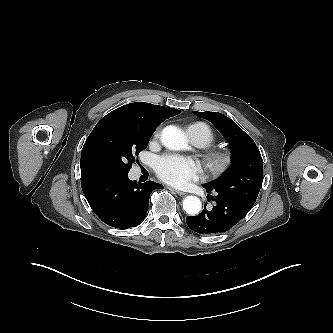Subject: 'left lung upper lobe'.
I'll use <instances>...</instances> for the list:
<instances>
[{"mask_svg": "<svg viewBox=\"0 0 333 333\" xmlns=\"http://www.w3.org/2000/svg\"><path fill=\"white\" fill-rule=\"evenodd\" d=\"M209 120L230 143L234 165L220 178L206 183L215 191L255 203L263 182V160L251 137L234 121L218 112H196Z\"/></svg>", "mask_w": 333, "mask_h": 333, "instance_id": "5c2ea615", "label": "left lung upper lobe"}]
</instances>
